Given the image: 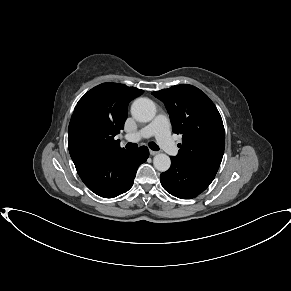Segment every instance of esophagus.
Segmentation results:
<instances>
[{
    "instance_id": "esophagus-1",
    "label": "esophagus",
    "mask_w": 291,
    "mask_h": 291,
    "mask_svg": "<svg viewBox=\"0 0 291 291\" xmlns=\"http://www.w3.org/2000/svg\"><path fill=\"white\" fill-rule=\"evenodd\" d=\"M149 152H150V155H152V156H154V155L158 154V152H157V151H153V150H150Z\"/></svg>"
}]
</instances>
